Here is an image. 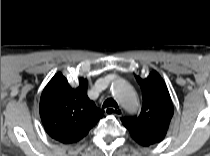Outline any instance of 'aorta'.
Listing matches in <instances>:
<instances>
[{"label": "aorta", "instance_id": "obj_1", "mask_svg": "<svg viewBox=\"0 0 210 156\" xmlns=\"http://www.w3.org/2000/svg\"><path fill=\"white\" fill-rule=\"evenodd\" d=\"M114 97L128 111H135L139 108L137 94L134 88L125 80L117 79L111 86Z\"/></svg>", "mask_w": 210, "mask_h": 156}]
</instances>
